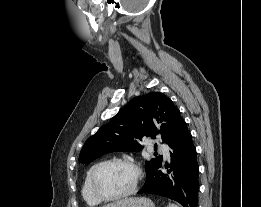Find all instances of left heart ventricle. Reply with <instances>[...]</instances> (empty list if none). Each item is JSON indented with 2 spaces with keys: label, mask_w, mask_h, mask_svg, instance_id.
<instances>
[{
  "label": "left heart ventricle",
  "mask_w": 261,
  "mask_h": 207,
  "mask_svg": "<svg viewBox=\"0 0 261 207\" xmlns=\"http://www.w3.org/2000/svg\"><path fill=\"white\" fill-rule=\"evenodd\" d=\"M134 180L135 172L130 166L112 164L100 172L97 185L104 195L113 196L130 189Z\"/></svg>",
  "instance_id": "1"
}]
</instances>
